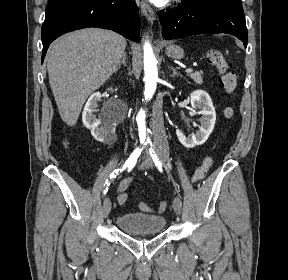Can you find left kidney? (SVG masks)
<instances>
[{"mask_svg":"<svg viewBox=\"0 0 288 280\" xmlns=\"http://www.w3.org/2000/svg\"><path fill=\"white\" fill-rule=\"evenodd\" d=\"M191 105L196 112L201 115L199 130L186 136L182 130L177 129L176 135L179 142L186 148H193L196 145L203 144L214 129L216 121V112L209 94L203 90H196L190 94ZM195 112V111H194Z\"/></svg>","mask_w":288,"mask_h":280,"instance_id":"5707ae66","label":"left kidney"}]
</instances>
